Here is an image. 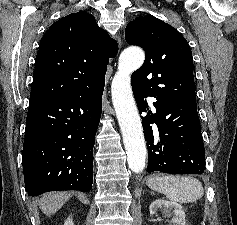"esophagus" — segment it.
Here are the masks:
<instances>
[{"instance_id": "obj_1", "label": "esophagus", "mask_w": 237, "mask_h": 225, "mask_svg": "<svg viewBox=\"0 0 237 225\" xmlns=\"http://www.w3.org/2000/svg\"><path fill=\"white\" fill-rule=\"evenodd\" d=\"M118 42H119V45L121 46V38L118 37Z\"/></svg>"}]
</instances>
